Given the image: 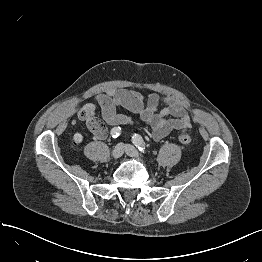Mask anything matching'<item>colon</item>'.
Instances as JSON below:
<instances>
[{
	"mask_svg": "<svg viewBox=\"0 0 262 262\" xmlns=\"http://www.w3.org/2000/svg\"><path fill=\"white\" fill-rule=\"evenodd\" d=\"M178 140L184 145H188L191 142V132L189 127L182 128L178 133ZM73 142L76 146H80L83 142L81 133H75L73 136Z\"/></svg>",
	"mask_w": 262,
	"mask_h": 262,
	"instance_id": "1",
	"label": "colon"
}]
</instances>
